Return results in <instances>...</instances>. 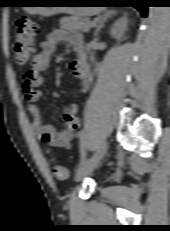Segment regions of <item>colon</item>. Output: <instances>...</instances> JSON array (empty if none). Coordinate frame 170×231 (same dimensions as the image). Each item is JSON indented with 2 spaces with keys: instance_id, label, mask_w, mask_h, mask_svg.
Here are the masks:
<instances>
[{
  "instance_id": "obj_1",
  "label": "colon",
  "mask_w": 170,
  "mask_h": 231,
  "mask_svg": "<svg viewBox=\"0 0 170 231\" xmlns=\"http://www.w3.org/2000/svg\"><path fill=\"white\" fill-rule=\"evenodd\" d=\"M15 32L16 37L13 46L14 60L17 65L23 66L28 63L35 50L36 25L29 16L21 15L15 22ZM31 77L30 70L24 73L25 79ZM52 171L60 180H66L70 177L69 170L64 166L54 165Z\"/></svg>"
}]
</instances>
